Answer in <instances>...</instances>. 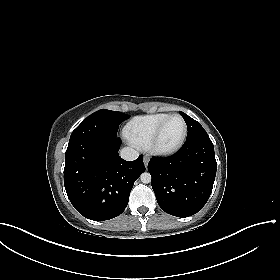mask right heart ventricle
<instances>
[{"instance_id": "1", "label": "right heart ventricle", "mask_w": 280, "mask_h": 280, "mask_svg": "<svg viewBox=\"0 0 280 280\" xmlns=\"http://www.w3.org/2000/svg\"><path fill=\"white\" fill-rule=\"evenodd\" d=\"M168 113H156L133 118L126 126V136L138 147L147 148L161 121Z\"/></svg>"}]
</instances>
